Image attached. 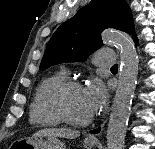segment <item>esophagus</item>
<instances>
[{"mask_svg": "<svg viewBox=\"0 0 155 149\" xmlns=\"http://www.w3.org/2000/svg\"><path fill=\"white\" fill-rule=\"evenodd\" d=\"M88 140L95 142V141H97V138L94 135H90L88 137Z\"/></svg>", "mask_w": 155, "mask_h": 149, "instance_id": "obj_1", "label": "esophagus"}]
</instances>
